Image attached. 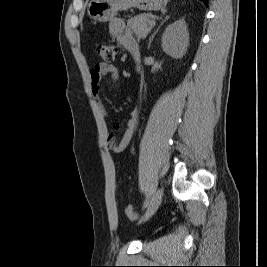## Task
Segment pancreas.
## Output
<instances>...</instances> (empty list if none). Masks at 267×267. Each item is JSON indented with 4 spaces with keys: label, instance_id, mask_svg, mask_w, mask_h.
<instances>
[{
    "label": "pancreas",
    "instance_id": "cf45deb5",
    "mask_svg": "<svg viewBox=\"0 0 267 267\" xmlns=\"http://www.w3.org/2000/svg\"><path fill=\"white\" fill-rule=\"evenodd\" d=\"M151 18V14H139L128 20L127 27L138 39H145L152 29L148 24Z\"/></svg>",
    "mask_w": 267,
    "mask_h": 267
}]
</instances>
